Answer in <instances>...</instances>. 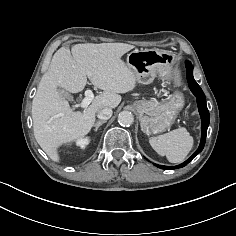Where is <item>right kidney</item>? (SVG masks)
<instances>
[{"label": "right kidney", "mask_w": 236, "mask_h": 236, "mask_svg": "<svg viewBox=\"0 0 236 236\" xmlns=\"http://www.w3.org/2000/svg\"><path fill=\"white\" fill-rule=\"evenodd\" d=\"M89 144V139H80L77 141V145L80 146L81 149H84Z\"/></svg>", "instance_id": "right-kidney-1"}]
</instances>
